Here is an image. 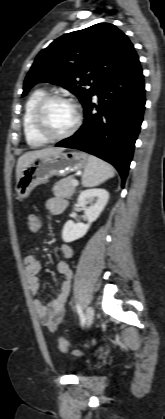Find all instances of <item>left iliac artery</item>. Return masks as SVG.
<instances>
[{
	"mask_svg": "<svg viewBox=\"0 0 165 419\" xmlns=\"http://www.w3.org/2000/svg\"><path fill=\"white\" fill-rule=\"evenodd\" d=\"M76 308H77L78 315L80 317V324H81V326H84V324H85V316L83 314V311H82V309H81V307H80L79 304L76 305Z\"/></svg>",
	"mask_w": 165,
	"mask_h": 419,
	"instance_id": "44dca946",
	"label": "left iliac artery"
}]
</instances>
